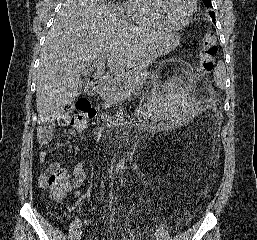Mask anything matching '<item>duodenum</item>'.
Returning <instances> with one entry per match:
<instances>
[{
	"instance_id": "410a0bca",
	"label": "duodenum",
	"mask_w": 257,
	"mask_h": 240,
	"mask_svg": "<svg viewBox=\"0 0 257 240\" xmlns=\"http://www.w3.org/2000/svg\"><path fill=\"white\" fill-rule=\"evenodd\" d=\"M98 89L97 82L93 81L86 87V93L88 95H94Z\"/></svg>"
}]
</instances>
